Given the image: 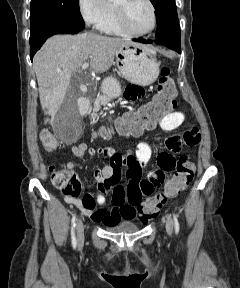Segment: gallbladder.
Segmentation results:
<instances>
[{"label":"gallbladder","mask_w":240,"mask_h":288,"mask_svg":"<svg viewBox=\"0 0 240 288\" xmlns=\"http://www.w3.org/2000/svg\"><path fill=\"white\" fill-rule=\"evenodd\" d=\"M76 92L73 89H69L65 97V101L57 113L53 116V122L64 123L72 116L78 114L76 104Z\"/></svg>","instance_id":"1"}]
</instances>
